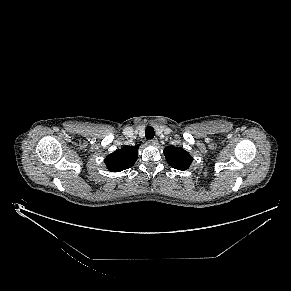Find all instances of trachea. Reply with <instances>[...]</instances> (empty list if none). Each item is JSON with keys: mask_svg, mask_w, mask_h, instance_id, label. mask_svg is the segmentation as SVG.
<instances>
[{"mask_svg": "<svg viewBox=\"0 0 291 291\" xmlns=\"http://www.w3.org/2000/svg\"><path fill=\"white\" fill-rule=\"evenodd\" d=\"M154 135H155V131L153 129V127L151 126H147L146 129H145V137L146 139H153L154 138Z\"/></svg>", "mask_w": 291, "mask_h": 291, "instance_id": "obj_1", "label": "trachea"}]
</instances>
